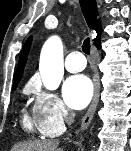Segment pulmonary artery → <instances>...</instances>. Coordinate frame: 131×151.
I'll return each instance as SVG.
<instances>
[{
  "label": "pulmonary artery",
  "mask_w": 131,
  "mask_h": 151,
  "mask_svg": "<svg viewBox=\"0 0 131 151\" xmlns=\"http://www.w3.org/2000/svg\"><path fill=\"white\" fill-rule=\"evenodd\" d=\"M86 66V60L79 51L69 53L65 59V68L67 71L76 73L82 71Z\"/></svg>",
  "instance_id": "e3ab8cb5"
}]
</instances>
